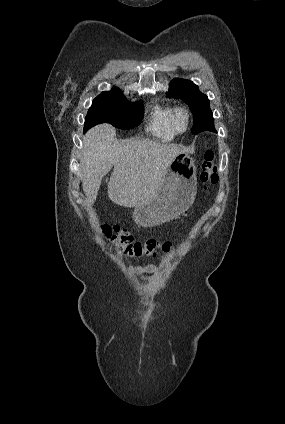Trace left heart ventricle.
I'll list each match as a JSON object with an SVG mask.
<instances>
[{"label":"left heart ventricle","mask_w":285,"mask_h":424,"mask_svg":"<svg viewBox=\"0 0 285 424\" xmlns=\"http://www.w3.org/2000/svg\"><path fill=\"white\" fill-rule=\"evenodd\" d=\"M177 124L179 126V128L183 129L186 125V119L184 117V115H179L177 117Z\"/></svg>","instance_id":"1"}]
</instances>
